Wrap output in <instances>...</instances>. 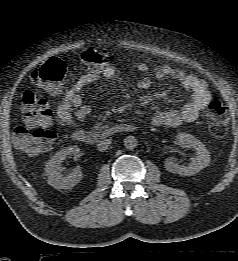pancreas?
<instances>
[{
  "instance_id": "pancreas-1",
  "label": "pancreas",
  "mask_w": 238,
  "mask_h": 261,
  "mask_svg": "<svg viewBox=\"0 0 238 261\" xmlns=\"http://www.w3.org/2000/svg\"><path fill=\"white\" fill-rule=\"evenodd\" d=\"M107 127H108L107 125H105V124L99 122V123H97V124L94 126V130H95V131H101L102 129H105V128H107Z\"/></svg>"
}]
</instances>
